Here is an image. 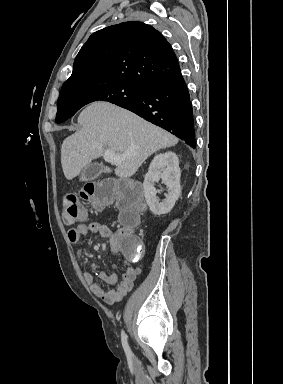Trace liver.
<instances>
[{"label":"liver","instance_id":"6515ba94","mask_svg":"<svg viewBox=\"0 0 283 384\" xmlns=\"http://www.w3.org/2000/svg\"><path fill=\"white\" fill-rule=\"evenodd\" d=\"M81 130L64 140L61 164L66 180H73L106 150L128 154L115 174L124 180L136 174L143 162L162 148L178 144V138L109 102H93L78 116Z\"/></svg>","mask_w":283,"mask_h":384}]
</instances>
